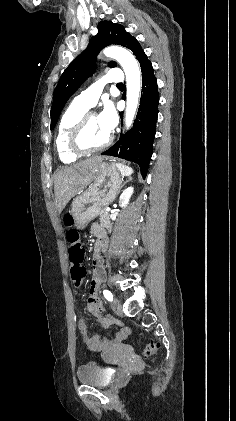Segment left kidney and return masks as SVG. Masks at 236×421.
<instances>
[{
  "instance_id": "1",
  "label": "left kidney",
  "mask_w": 236,
  "mask_h": 421,
  "mask_svg": "<svg viewBox=\"0 0 236 421\" xmlns=\"http://www.w3.org/2000/svg\"><path fill=\"white\" fill-rule=\"evenodd\" d=\"M131 194H133V186H128V188H125L122 194H120L119 206H127V204H129Z\"/></svg>"
}]
</instances>
